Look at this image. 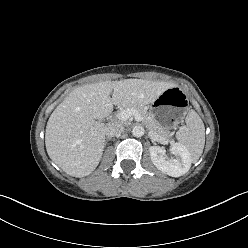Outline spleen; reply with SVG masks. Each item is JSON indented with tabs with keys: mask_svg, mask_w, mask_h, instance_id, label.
I'll use <instances>...</instances> for the list:
<instances>
[{
	"mask_svg": "<svg viewBox=\"0 0 248 248\" xmlns=\"http://www.w3.org/2000/svg\"><path fill=\"white\" fill-rule=\"evenodd\" d=\"M186 125L176 133L179 143L187 148L192 162H196L202 155L205 144V127L199 115L190 110L185 119Z\"/></svg>",
	"mask_w": 248,
	"mask_h": 248,
	"instance_id": "3e777b00",
	"label": "spleen"
}]
</instances>
